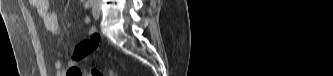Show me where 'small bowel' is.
Wrapping results in <instances>:
<instances>
[{"label": "small bowel", "mask_w": 333, "mask_h": 76, "mask_svg": "<svg viewBox=\"0 0 333 76\" xmlns=\"http://www.w3.org/2000/svg\"><path fill=\"white\" fill-rule=\"evenodd\" d=\"M34 5L40 17L43 19L46 29L53 34L61 33L62 29L59 19L50 9L49 2L46 0H34ZM84 23L89 24L90 19L86 17ZM88 35L89 37L87 39L81 41L74 47L73 53L66 63L61 60L54 61L53 67L59 76H82L79 62L94 53L98 49V42L101 41V33L96 32L94 27L88 29Z\"/></svg>", "instance_id": "1"}]
</instances>
